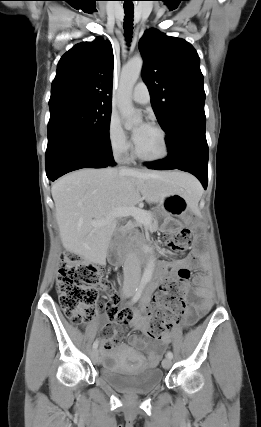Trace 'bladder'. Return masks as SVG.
I'll return each instance as SVG.
<instances>
[{"instance_id":"obj_1","label":"bladder","mask_w":261,"mask_h":427,"mask_svg":"<svg viewBox=\"0 0 261 427\" xmlns=\"http://www.w3.org/2000/svg\"><path fill=\"white\" fill-rule=\"evenodd\" d=\"M100 377L117 390L130 394L148 393L157 388L164 379L162 370L157 367L136 371L123 365L113 354L104 359Z\"/></svg>"}]
</instances>
